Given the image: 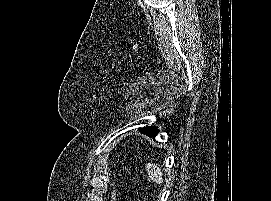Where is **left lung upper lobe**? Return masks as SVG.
I'll return each instance as SVG.
<instances>
[{
  "label": "left lung upper lobe",
  "instance_id": "1",
  "mask_svg": "<svg viewBox=\"0 0 271 201\" xmlns=\"http://www.w3.org/2000/svg\"><path fill=\"white\" fill-rule=\"evenodd\" d=\"M139 131L143 134H146L149 137H155L157 133L159 132L156 126L139 128Z\"/></svg>",
  "mask_w": 271,
  "mask_h": 201
}]
</instances>
